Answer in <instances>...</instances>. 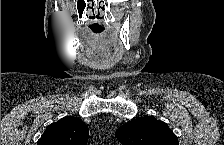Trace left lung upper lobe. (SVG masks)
<instances>
[{
  "label": "left lung upper lobe",
  "instance_id": "5c2ea615",
  "mask_svg": "<svg viewBox=\"0 0 224 145\" xmlns=\"http://www.w3.org/2000/svg\"><path fill=\"white\" fill-rule=\"evenodd\" d=\"M122 145H179L168 125L154 117L135 119L115 133Z\"/></svg>",
  "mask_w": 224,
  "mask_h": 145
}]
</instances>
